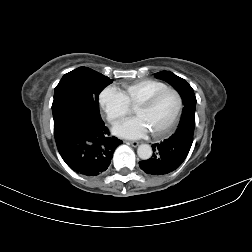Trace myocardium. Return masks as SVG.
<instances>
[{"mask_svg": "<svg viewBox=\"0 0 252 252\" xmlns=\"http://www.w3.org/2000/svg\"><path fill=\"white\" fill-rule=\"evenodd\" d=\"M166 92H173L176 95L177 100H178L177 108H176L175 113L172 116L171 120L169 121V123L164 128H162L160 130H157V131H152L151 132V135L154 136V137H159V136H163V135L168 134L173 129V127L175 126V124H176V122H177V120H178V118L180 116V113L182 111V108H183V98H182L181 94L175 88L166 87L164 89H161V90H158V91L154 92L153 94H151L150 96H148L147 98H145L144 100H142L141 102H139L136 105V108L137 107H148L151 104H153L154 101L159 96H161L163 93H166Z\"/></svg>", "mask_w": 252, "mask_h": 252, "instance_id": "obj_1", "label": "myocardium"}]
</instances>
